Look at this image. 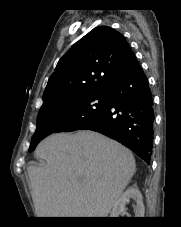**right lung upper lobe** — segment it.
<instances>
[{
    "instance_id": "right-lung-upper-lobe-1",
    "label": "right lung upper lobe",
    "mask_w": 181,
    "mask_h": 227,
    "mask_svg": "<svg viewBox=\"0 0 181 227\" xmlns=\"http://www.w3.org/2000/svg\"><path fill=\"white\" fill-rule=\"evenodd\" d=\"M134 59L121 33L107 26L93 29L59 60L45 88L41 109L108 90Z\"/></svg>"
}]
</instances>
